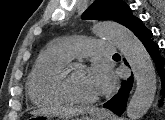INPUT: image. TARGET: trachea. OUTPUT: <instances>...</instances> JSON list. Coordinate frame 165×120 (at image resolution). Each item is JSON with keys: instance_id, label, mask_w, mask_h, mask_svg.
<instances>
[{"instance_id": "3493384b", "label": "trachea", "mask_w": 165, "mask_h": 120, "mask_svg": "<svg viewBox=\"0 0 165 120\" xmlns=\"http://www.w3.org/2000/svg\"><path fill=\"white\" fill-rule=\"evenodd\" d=\"M118 55H119V54H117V53H116V54H114V56H118Z\"/></svg>"}]
</instances>
